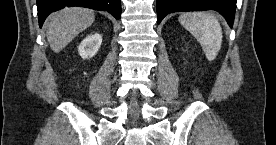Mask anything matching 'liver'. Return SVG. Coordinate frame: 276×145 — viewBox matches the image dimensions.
I'll use <instances>...</instances> for the list:
<instances>
[{
	"mask_svg": "<svg viewBox=\"0 0 276 145\" xmlns=\"http://www.w3.org/2000/svg\"><path fill=\"white\" fill-rule=\"evenodd\" d=\"M95 20L94 11L84 7H66L53 14L47 23L46 36L55 53L62 51Z\"/></svg>",
	"mask_w": 276,
	"mask_h": 145,
	"instance_id": "obj_1",
	"label": "liver"
}]
</instances>
